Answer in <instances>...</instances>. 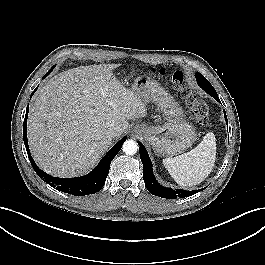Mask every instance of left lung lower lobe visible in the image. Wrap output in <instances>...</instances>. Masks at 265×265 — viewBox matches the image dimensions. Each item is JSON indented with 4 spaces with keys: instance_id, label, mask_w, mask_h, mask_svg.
Instances as JSON below:
<instances>
[{
    "instance_id": "1",
    "label": "left lung lower lobe",
    "mask_w": 265,
    "mask_h": 265,
    "mask_svg": "<svg viewBox=\"0 0 265 265\" xmlns=\"http://www.w3.org/2000/svg\"><path fill=\"white\" fill-rule=\"evenodd\" d=\"M196 80L198 85L209 95H211L214 99H216L218 102H220V99L215 91V89L213 88V86L210 84V82L204 78V76L200 73H196ZM221 103V102H220ZM224 116H225V120L227 122V127H228V121H227V117H226V113L224 111ZM140 147H139V152H140V158L141 161L143 163V179L145 182V186L148 189V191L156 196L162 197V198H167V199H176V198H184V197H188V196H192L196 193H198L199 191H201V189L199 190H193V191H185V190H181V189H172V188H166L162 185H160L154 175H153V171H152V163L149 159L148 153L145 149V147L139 143Z\"/></svg>"
}]
</instances>
